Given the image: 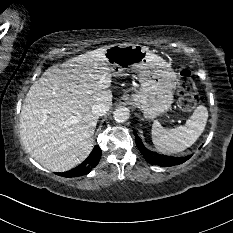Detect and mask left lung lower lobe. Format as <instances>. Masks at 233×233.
<instances>
[{
  "mask_svg": "<svg viewBox=\"0 0 233 233\" xmlns=\"http://www.w3.org/2000/svg\"><path fill=\"white\" fill-rule=\"evenodd\" d=\"M134 134L136 139V145L148 163L167 167V166L182 164L190 158V156L182 157V158L170 157V156L158 154L156 152H152L144 147L137 133L134 132Z\"/></svg>",
  "mask_w": 233,
  "mask_h": 233,
  "instance_id": "obj_1",
  "label": "left lung lower lobe"
}]
</instances>
